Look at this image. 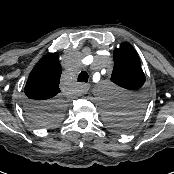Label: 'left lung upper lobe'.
Segmentation results:
<instances>
[{
    "label": "left lung upper lobe",
    "instance_id": "1",
    "mask_svg": "<svg viewBox=\"0 0 174 174\" xmlns=\"http://www.w3.org/2000/svg\"><path fill=\"white\" fill-rule=\"evenodd\" d=\"M111 80L131 90H138L145 83V75L135 49L127 42L114 50V68ZM145 106L144 96L135 93L127 99L120 113H109L108 124L117 132L125 133L133 128Z\"/></svg>",
    "mask_w": 174,
    "mask_h": 174
}]
</instances>
